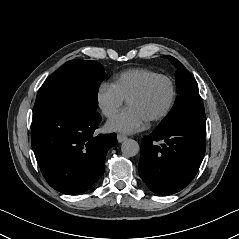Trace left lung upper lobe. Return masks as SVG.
<instances>
[{"mask_svg":"<svg viewBox=\"0 0 239 239\" xmlns=\"http://www.w3.org/2000/svg\"><path fill=\"white\" fill-rule=\"evenodd\" d=\"M165 57L178 68L175 73L178 96L171 111L161 121L156 130H164L189 117L205 118L204 106L196 80L176 58Z\"/></svg>","mask_w":239,"mask_h":239,"instance_id":"left-lung-upper-lobe-1","label":"left lung upper lobe"}]
</instances>
